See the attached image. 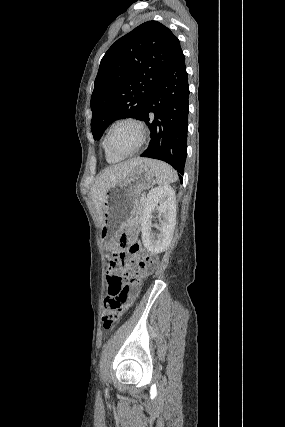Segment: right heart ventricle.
Wrapping results in <instances>:
<instances>
[{"label": "right heart ventricle", "mask_w": 285, "mask_h": 427, "mask_svg": "<svg viewBox=\"0 0 285 427\" xmlns=\"http://www.w3.org/2000/svg\"><path fill=\"white\" fill-rule=\"evenodd\" d=\"M103 147H104V144H103ZM104 150H105V157H106L107 162H109V163H116V162H118V161L121 160V158H118V157H116V156L111 155L110 153H108L106 151L105 147H104Z\"/></svg>", "instance_id": "e07e8e85"}]
</instances>
